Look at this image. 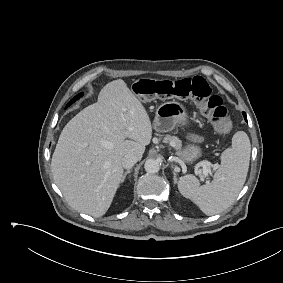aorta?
<instances>
[{
	"label": "aorta",
	"mask_w": 283,
	"mask_h": 283,
	"mask_svg": "<svg viewBox=\"0 0 283 283\" xmlns=\"http://www.w3.org/2000/svg\"><path fill=\"white\" fill-rule=\"evenodd\" d=\"M144 168L148 173H157L160 170V163L155 159H148L144 164Z\"/></svg>",
	"instance_id": "obj_1"
}]
</instances>
